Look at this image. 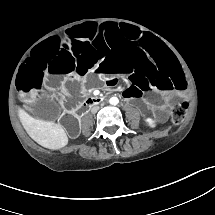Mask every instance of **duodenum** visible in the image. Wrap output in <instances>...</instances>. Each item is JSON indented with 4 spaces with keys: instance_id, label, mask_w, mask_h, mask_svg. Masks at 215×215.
I'll list each match as a JSON object with an SVG mask.
<instances>
[{
    "instance_id": "obj_1",
    "label": "duodenum",
    "mask_w": 215,
    "mask_h": 215,
    "mask_svg": "<svg viewBox=\"0 0 215 215\" xmlns=\"http://www.w3.org/2000/svg\"><path fill=\"white\" fill-rule=\"evenodd\" d=\"M103 101L104 97L102 96H91L87 98L86 101L84 102V107L100 105L101 103H103Z\"/></svg>"
}]
</instances>
